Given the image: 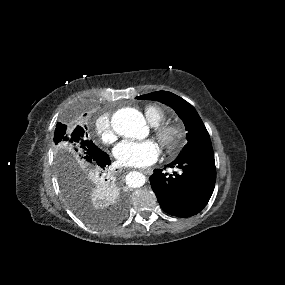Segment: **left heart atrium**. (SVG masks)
<instances>
[{
  "label": "left heart atrium",
  "mask_w": 285,
  "mask_h": 285,
  "mask_svg": "<svg viewBox=\"0 0 285 285\" xmlns=\"http://www.w3.org/2000/svg\"><path fill=\"white\" fill-rule=\"evenodd\" d=\"M160 149L153 140H124L114 149L117 161L127 167H146L159 157Z\"/></svg>",
  "instance_id": "obj_1"
}]
</instances>
